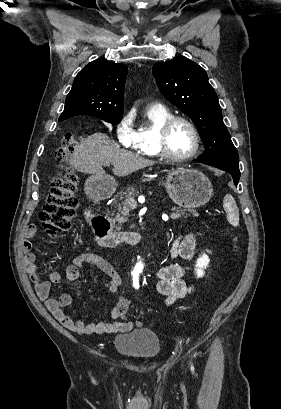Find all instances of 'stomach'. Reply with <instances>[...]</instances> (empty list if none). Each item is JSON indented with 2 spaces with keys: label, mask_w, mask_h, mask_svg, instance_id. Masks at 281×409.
<instances>
[{
  "label": "stomach",
  "mask_w": 281,
  "mask_h": 409,
  "mask_svg": "<svg viewBox=\"0 0 281 409\" xmlns=\"http://www.w3.org/2000/svg\"><path fill=\"white\" fill-rule=\"evenodd\" d=\"M165 188L172 200L179 207L195 209L202 207L210 200L213 194L212 184L201 170L196 168H176L171 170L164 182ZM117 182L113 176L107 178H96L89 176L85 182L84 190L87 196L93 200H105L112 196Z\"/></svg>",
  "instance_id": "stomach-1"
}]
</instances>
